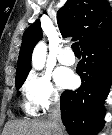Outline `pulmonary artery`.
Masks as SVG:
<instances>
[{
  "label": "pulmonary artery",
  "mask_w": 112,
  "mask_h": 135,
  "mask_svg": "<svg viewBox=\"0 0 112 135\" xmlns=\"http://www.w3.org/2000/svg\"><path fill=\"white\" fill-rule=\"evenodd\" d=\"M58 61L63 65H73L75 63V56L70 47H63L57 54Z\"/></svg>",
  "instance_id": "obj_1"
}]
</instances>
